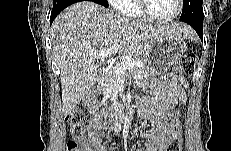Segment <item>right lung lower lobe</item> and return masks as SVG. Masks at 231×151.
Segmentation results:
<instances>
[{
  "label": "right lung lower lobe",
  "instance_id": "1",
  "mask_svg": "<svg viewBox=\"0 0 231 151\" xmlns=\"http://www.w3.org/2000/svg\"><path fill=\"white\" fill-rule=\"evenodd\" d=\"M78 2V0H54L53 3V9L51 12V17H50V24H52V22L54 21V19L56 18V16L63 10L65 9L67 6ZM93 2L98 3L100 5H103L105 7H108V5H104L102 2H100V0H93Z\"/></svg>",
  "mask_w": 231,
  "mask_h": 151
}]
</instances>
